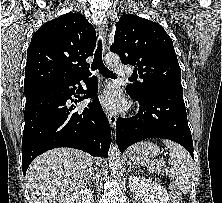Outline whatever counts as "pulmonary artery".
<instances>
[{"mask_svg": "<svg viewBox=\"0 0 222 203\" xmlns=\"http://www.w3.org/2000/svg\"><path fill=\"white\" fill-rule=\"evenodd\" d=\"M115 72L118 76H122V77L129 76L131 74L130 68L123 64L116 66Z\"/></svg>", "mask_w": 222, "mask_h": 203, "instance_id": "e3ab8cb5", "label": "pulmonary artery"}]
</instances>
